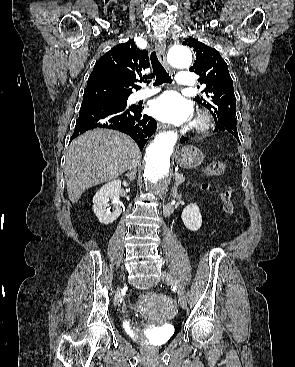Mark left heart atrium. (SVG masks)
Wrapping results in <instances>:
<instances>
[{
    "label": "left heart atrium",
    "mask_w": 295,
    "mask_h": 367,
    "mask_svg": "<svg viewBox=\"0 0 295 367\" xmlns=\"http://www.w3.org/2000/svg\"><path fill=\"white\" fill-rule=\"evenodd\" d=\"M149 111L158 120L176 125L188 122L192 116L191 104L175 91L153 100Z\"/></svg>",
    "instance_id": "obj_1"
}]
</instances>
